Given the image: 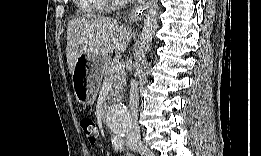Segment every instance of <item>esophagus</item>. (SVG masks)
Returning a JSON list of instances; mask_svg holds the SVG:
<instances>
[{
  "mask_svg": "<svg viewBox=\"0 0 261 156\" xmlns=\"http://www.w3.org/2000/svg\"><path fill=\"white\" fill-rule=\"evenodd\" d=\"M147 8V5H139L137 6L135 9H133L131 11V14H130V20L131 21H136L138 19H141L144 17L145 15V10Z\"/></svg>",
  "mask_w": 261,
  "mask_h": 156,
  "instance_id": "34e87169",
  "label": "esophagus"
}]
</instances>
